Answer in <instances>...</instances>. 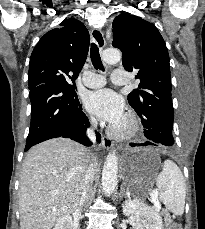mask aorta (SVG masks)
Here are the masks:
<instances>
[{
  "instance_id": "762f6f07",
  "label": "aorta",
  "mask_w": 205,
  "mask_h": 229,
  "mask_svg": "<svg viewBox=\"0 0 205 229\" xmlns=\"http://www.w3.org/2000/svg\"><path fill=\"white\" fill-rule=\"evenodd\" d=\"M102 59L108 64H115L121 60L118 49L104 50ZM118 157L116 151H111L106 157L102 171V188L105 195H111L117 186Z\"/></svg>"
}]
</instances>
